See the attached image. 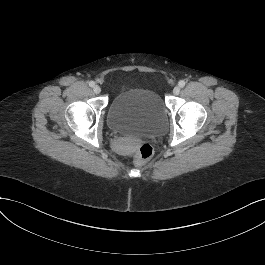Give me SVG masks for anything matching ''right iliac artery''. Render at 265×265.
Listing matches in <instances>:
<instances>
[{
	"instance_id": "82829eb1",
	"label": "right iliac artery",
	"mask_w": 265,
	"mask_h": 265,
	"mask_svg": "<svg viewBox=\"0 0 265 265\" xmlns=\"http://www.w3.org/2000/svg\"><path fill=\"white\" fill-rule=\"evenodd\" d=\"M89 86H90V87H94V86H95V82L90 81V82H89Z\"/></svg>"
}]
</instances>
